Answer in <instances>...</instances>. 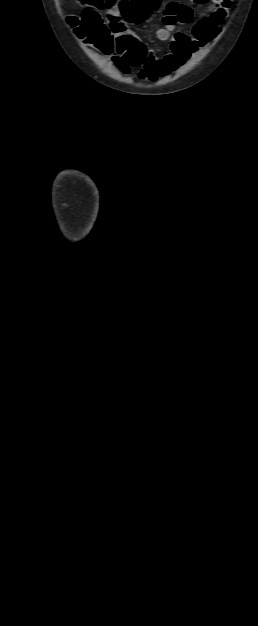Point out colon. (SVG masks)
Segmentation results:
<instances>
[{"mask_svg": "<svg viewBox=\"0 0 258 626\" xmlns=\"http://www.w3.org/2000/svg\"><path fill=\"white\" fill-rule=\"evenodd\" d=\"M79 4L89 6L80 17L70 16L69 22L75 28L77 34L94 44L103 52L112 50V41L108 28L103 24L97 10L112 9L116 6L117 0H77ZM160 3V0H123L121 7L125 11L128 19L138 23L146 18ZM144 57L142 47H137L132 59L135 65L141 63Z\"/></svg>", "mask_w": 258, "mask_h": 626, "instance_id": "1", "label": "colon"}]
</instances>
